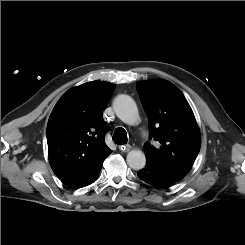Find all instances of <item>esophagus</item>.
Listing matches in <instances>:
<instances>
[{
  "instance_id": "1",
  "label": "esophagus",
  "mask_w": 245,
  "mask_h": 245,
  "mask_svg": "<svg viewBox=\"0 0 245 245\" xmlns=\"http://www.w3.org/2000/svg\"><path fill=\"white\" fill-rule=\"evenodd\" d=\"M131 149V145L129 144H125V145H120L119 146V150L123 151V152H127Z\"/></svg>"
}]
</instances>
